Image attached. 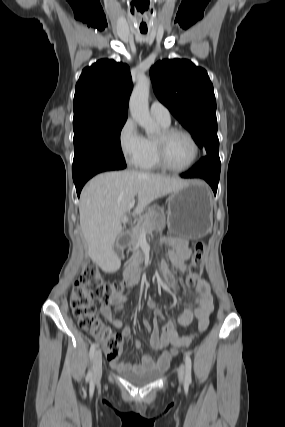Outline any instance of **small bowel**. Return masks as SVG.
Here are the masks:
<instances>
[{
    "instance_id": "c3829d8e",
    "label": "small bowel",
    "mask_w": 285,
    "mask_h": 427,
    "mask_svg": "<svg viewBox=\"0 0 285 427\" xmlns=\"http://www.w3.org/2000/svg\"><path fill=\"white\" fill-rule=\"evenodd\" d=\"M169 246V257L172 265L185 272L187 270V260L191 256V248L188 242L182 238L170 236L163 238ZM133 266V273L130 275L128 280L124 274L126 287L136 285L142 274V267L137 264H130L128 267ZM161 271L164 278L169 286L173 289H178L177 281L173 273L169 270L164 262L160 264ZM195 303L196 308L191 310L190 308H184L182 312L177 316V322L182 326L189 325L193 318L197 320V332L190 335L180 336L176 330L175 323L168 321L163 328L160 330L158 326V320L163 317V314L159 310L154 311V325L151 328L148 320L143 318V325L149 333V345L154 351L161 352L159 357H154L143 354L140 357L139 363L121 362L117 359H109L112 366L124 369L133 370L137 372H145L151 370H165L168 368L171 358L180 347H187L191 344L192 340L200 333L204 332L209 326L210 316L214 310L213 299L211 295V289L207 281L200 280L195 288ZM127 297L122 293H114L109 298L108 304L115 306L116 311L122 312ZM146 305L150 309H154L156 304L153 300H148ZM102 315L111 323L115 328L120 329V335L123 338L131 336L130 327L124 325L122 319L113 318L109 305L103 304L100 307ZM137 348H141V343L135 341ZM170 347V349H168Z\"/></svg>"
}]
</instances>
